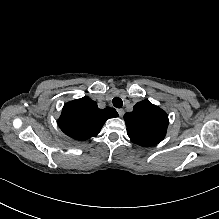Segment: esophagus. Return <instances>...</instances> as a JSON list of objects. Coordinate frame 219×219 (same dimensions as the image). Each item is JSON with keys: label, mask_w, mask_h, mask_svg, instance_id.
Masks as SVG:
<instances>
[{"label": "esophagus", "mask_w": 219, "mask_h": 219, "mask_svg": "<svg viewBox=\"0 0 219 219\" xmlns=\"http://www.w3.org/2000/svg\"><path fill=\"white\" fill-rule=\"evenodd\" d=\"M117 112H118L120 117H123V115H124V110L123 109H117Z\"/></svg>", "instance_id": "34e87169"}]
</instances>
